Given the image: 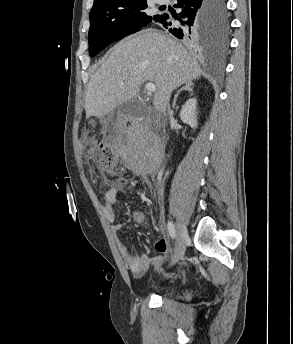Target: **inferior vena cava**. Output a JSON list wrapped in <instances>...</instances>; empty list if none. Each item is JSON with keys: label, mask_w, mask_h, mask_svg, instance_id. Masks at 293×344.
Segmentation results:
<instances>
[{"label": "inferior vena cava", "mask_w": 293, "mask_h": 344, "mask_svg": "<svg viewBox=\"0 0 293 344\" xmlns=\"http://www.w3.org/2000/svg\"><path fill=\"white\" fill-rule=\"evenodd\" d=\"M167 110H168V114L170 115L171 112H170V107H169V105H168V109H167Z\"/></svg>", "instance_id": "1"}]
</instances>
